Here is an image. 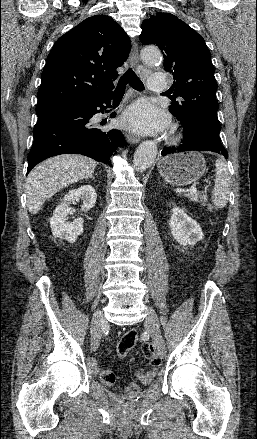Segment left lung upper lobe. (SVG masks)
Here are the masks:
<instances>
[{
	"mask_svg": "<svg viewBox=\"0 0 257 439\" xmlns=\"http://www.w3.org/2000/svg\"><path fill=\"white\" fill-rule=\"evenodd\" d=\"M140 41L157 45L164 68L173 75L174 96L169 111L179 121L200 119L220 131L217 84L211 54L204 39L170 13H156L143 21Z\"/></svg>",
	"mask_w": 257,
	"mask_h": 439,
	"instance_id": "5c2ea615",
	"label": "left lung upper lobe"
}]
</instances>
